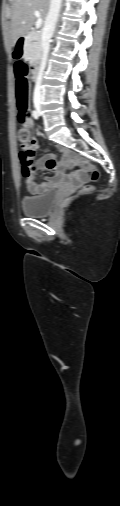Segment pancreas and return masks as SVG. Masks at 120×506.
I'll use <instances>...</instances> for the list:
<instances>
[{
	"instance_id": "1",
	"label": "pancreas",
	"mask_w": 120,
	"mask_h": 506,
	"mask_svg": "<svg viewBox=\"0 0 120 506\" xmlns=\"http://www.w3.org/2000/svg\"><path fill=\"white\" fill-rule=\"evenodd\" d=\"M42 54L41 33L30 31L26 36L24 58L30 62L37 61Z\"/></svg>"
}]
</instances>
